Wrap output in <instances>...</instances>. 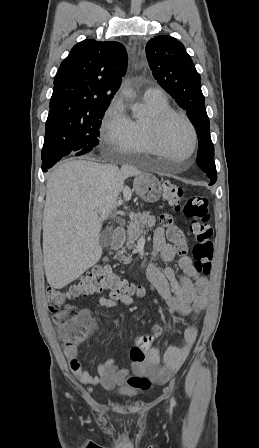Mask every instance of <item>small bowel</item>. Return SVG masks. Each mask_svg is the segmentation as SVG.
I'll use <instances>...</instances> for the list:
<instances>
[{
  "label": "small bowel",
  "mask_w": 259,
  "mask_h": 448,
  "mask_svg": "<svg viewBox=\"0 0 259 448\" xmlns=\"http://www.w3.org/2000/svg\"><path fill=\"white\" fill-rule=\"evenodd\" d=\"M178 250L176 246L168 243L163 228H158L153 238V257H160L164 262L175 260ZM180 254V253H179ZM180 273L171 267L159 268L150 263L147 276L155 290L165 303L174 311L186 317H197L207 305L209 281L199 273L189 255L179 258ZM133 302L130 294L101 297L99 304L102 307L113 308L119 305L129 306ZM152 332L159 337L163 329L155 324ZM184 343L180 347H171L166 350L161 360L159 350L150 348L146 360L132 363L130 369L119 368L116 360L107 359L96 364L97 375L87 372L77 359V349H65V356L76 378L83 384H100L105 389H112L118 385H126L134 389L146 390L150 387L149 381L157 383L167 382L181 367L189 355L196 339L197 328L188 325L184 329Z\"/></svg>",
  "instance_id": "c3829d8e"
}]
</instances>
